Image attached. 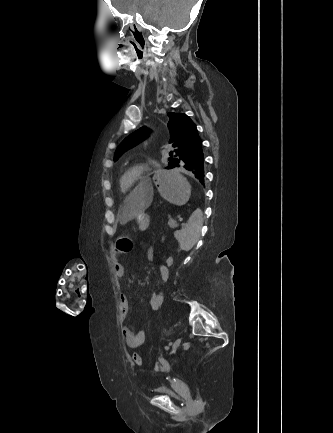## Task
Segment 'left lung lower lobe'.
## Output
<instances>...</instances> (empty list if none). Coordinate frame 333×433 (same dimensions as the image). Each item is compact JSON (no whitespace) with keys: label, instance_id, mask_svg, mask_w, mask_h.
<instances>
[{"label":"left lung lower lobe","instance_id":"1","mask_svg":"<svg viewBox=\"0 0 333 433\" xmlns=\"http://www.w3.org/2000/svg\"><path fill=\"white\" fill-rule=\"evenodd\" d=\"M173 168L183 169L197 178L201 183H204V153L201 139L191 145L174 162Z\"/></svg>","mask_w":333,"mask_h":433}]
</instances>
